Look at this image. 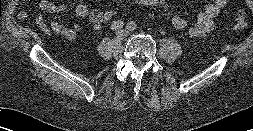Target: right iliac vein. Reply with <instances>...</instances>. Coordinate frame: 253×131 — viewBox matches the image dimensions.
Listing matches in <instances>:
<instances>
[{
    "instance_id": "1",
    "label": "right iliac vein",
    "mask_w": 253,
    "mask_h": 131,
    "mask_svg": "<svg viewBox=\"0 0 253 131\" xmlns=\"http://www.w3.org/2000/svg\"><path fill=\"white\" fill-rule=\"evenodd\" d=\"M125 37V32L123 30H119L116 33V40L121 41Z\"/></svg>"
}]
</instances>
